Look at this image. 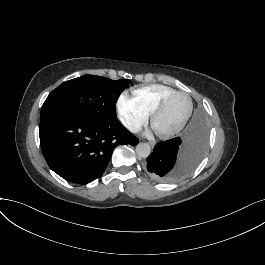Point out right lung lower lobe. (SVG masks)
<instances>
[{"mask_svg":"<svg viewBox=\"0 0 265 265\" xmlns=\"http://www.w3.org/2000/svg\"><path fill=\"white\" fill-rule=\"evenodd\" d=\"M39 135L50 168L76 184L98 178L115 147L135 146L139 141L118 120L102 121L76 113L57 114L40 121Z\"/></svg>","mask_w":265,"mask_h":265,"instance_id":"obj_1","label":"right lung lower lobe"}]
</instances>
